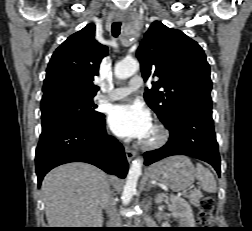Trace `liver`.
Wrapping results in <instances>:
<instances>
[{
  "instance_id": "liver-1",
  "label": "liver",
  "mask_w": 252,
  "mask_h": 231,
  "mask_svg": "<svg viewBox=\"0 0 252 231\" xmlns=\"http://www.w3.org/2000/svg\"><path fill=\"white\" fill-rule=\"evenodd\" d=\"M108 177L90 164L59 166L43 179L41 191L50 228H100Z\"/></svg>"
}]
</instances>
